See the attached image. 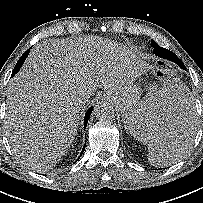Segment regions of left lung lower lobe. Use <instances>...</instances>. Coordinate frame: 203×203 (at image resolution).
<instances>
[{
	"mask_svg": "<svg viewBox=\"0 0 203 203\" xmlns=\"http://www.w3.org/2000/svg\"><path fill=\"white\" fill-rule=\"evenodd\" d=\"M154 52L157 56L161 57V58H164V59H168L172 62H175L177 63L182 69H185L184 65L180 62V60L176 57V55L165 49V48H162L160 46L157 47V49H154Z\"/></svg>",
	"mask_w": 203,
	"mask_h": 203,
	"instance_id": "0a47b994",
	"label": "left lung lower lobe"
}]
</instances>
